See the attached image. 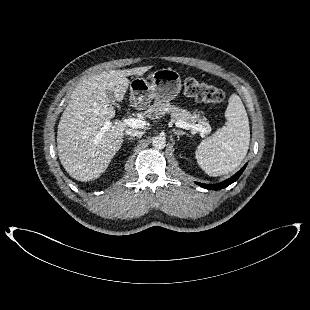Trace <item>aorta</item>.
<instances>
[{
	"label": "aorta",
	"instance_id": "obj_1",
	"mask_svg": "<svg viewBox=\"0 0 310 310\" xmlns=\"http://www.w3.org/2000/svg\"><path fill=\"white\" fill-rule=\"evenodd\" d=\"M152 145L155 149H163L166 145V139L163 136H156L152 140Z\"/></svg>",
	"mask_w": 310,
	"mask_h": 310
}]
</instances>
